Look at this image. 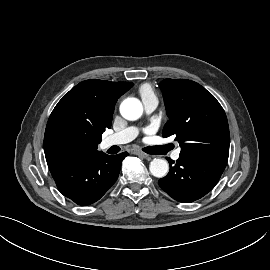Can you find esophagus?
<instances>
[{
  "label": "esophagus",
  "instance_id": "34e87169",
  "mask_svg": "<svg viewBox=\"0 0 270 270\" xmlns=\"http://www.w3.org/2000/svg\"><path fill=\"white\" fill-rule=\"evenodd\" d=\"M135 154L138 155V156H141L143 158H149L150 157L147 153H144V152H141V151H137Z\"/></svg>",
  "mask_w": 270,
  "mask_h": 270
}]
</instances>
